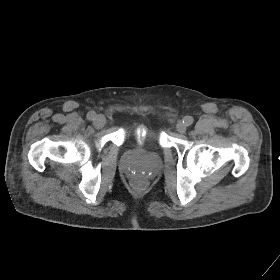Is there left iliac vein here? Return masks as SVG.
<instances>
[{
	"label": "left iliac vein",
	"instance_id": "4c4485c4",
	"mask_svg": "<svg viewBox=\"0 0 280 280\" xmlns=\"http://www.w3.org/2000/svg\"><path fill=\"white\" fill-rule=\"evenodd\" d=\"M186 129H187V125L183 122V121H178L177 124H176V130L183 134L186 132Z\"/></svg>",
	"mask_w": 280,
	"mask_h": 280
}]
</instances>
